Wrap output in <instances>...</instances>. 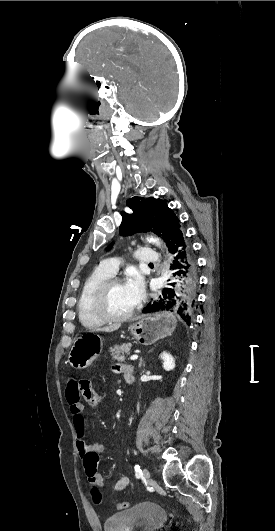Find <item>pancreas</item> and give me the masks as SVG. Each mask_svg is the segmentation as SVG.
I'll use <instances>...</instances> for the list:
<instances>
[{
    "mask_svg": "<svg viewBox=\"0 0 275 531\" xmlns=\"http://www.w3.org/2000/svg\"><path fill=\"white\" fill-rule=\"evenodd\" d=\"M132 345L130 343H127V345H114V347H110V355L114 361H125L124 353H130ZM122 353V355H121Z\"/></svg>",
    "mask_w": 275,
    "mask_h": 531,
    "instance_id": "cf45deb5",
    "label": "pancreas"
}]
</instances>
